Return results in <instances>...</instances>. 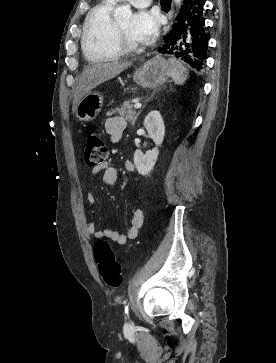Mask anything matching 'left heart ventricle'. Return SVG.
I'll use <instances>...</instances> for the list:
<instances>
[{"mask_svg": "<svg viewBox=\"0 0 276 363\" xmlns=\"http://www.w3.org/2000/svg\"><path fill=\"white\" fill-rule=\"evenodd\" d=\"M132 16H129L125 19L119 20V26L121 28L123 37L126 42H128L131 45H140L142 44V41H140L137 36L133 33L132 30Z\"/></svg>", "mask_w": 276, "mask_h": 363, "instance_id": "b2bd125f", "label": "left heart ventricle"}]
</instances>
